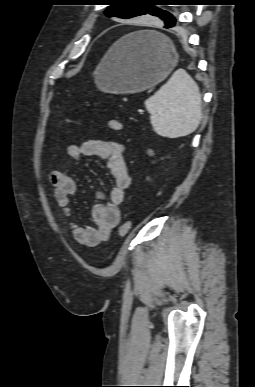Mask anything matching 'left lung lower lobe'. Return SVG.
I'll return each instance as SVG.
<instances>
[{"mask_svg":"<svg viewBox=\"0 0 255 387\" xmlns=\"http://www.w3.org/2000/svg\"><path fill=\"white\" fill-rule=\"evenodd\" d=\"M175 24H176V20H175V18H174V19L171 20L170 22L166 23L165 28H171V27L175 26Z\"/></svg>","mask_w":255,"mask_h":387,"instance_id":"1","label":"left lung lower lobe"}]
</instances>
